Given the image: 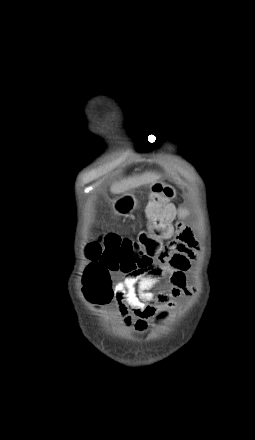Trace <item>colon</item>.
<instances>
[{
    "label": "colon",
    "mask_w": 255,
    "mask_h": 440,
    "mask_svg": "<svg viewBox=\"0 0 255 440\" xmlns=\"http://www.w3.org/2000/svg\"><path fill=\"white\" fill-rule=\"evenodd\" d=\"M174 194L168 184L153 185L146 206L145 229L136 238L108 233L88 244L86 255L92 264L85 272L83 289L89 301L104 304L111 300L109 272L141 270L152 266L155 259H164L167 245L162 240L173 231ZM159 318L166 320L168 313L160 312Z\"/></svg>",
    "instance_id": "colon-1"
}]
</instances>
